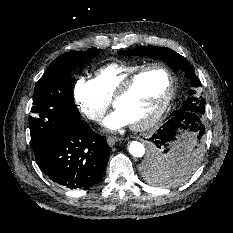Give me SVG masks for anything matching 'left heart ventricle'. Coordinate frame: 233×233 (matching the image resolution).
Here are the masks:
<instances>
[{
	"label": "left heart ventricle",
	"mask_w": 233,
	"mask_h": 233,
	"mask_svg": "<svg viewBox=\"0 0 233 233\" xmlns=\"http://www.w3.org/2000/svg\"><path fill=\"white\" fill-rule=\"evenodd\" d=\"M167 74L159 69L143 75L117 105L130 124L147 119L160 105L168 90Z\"/></svg>",
	"instance_id": "b2bd125f"
}]
</instances>
